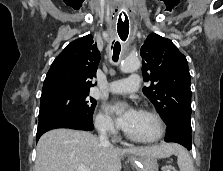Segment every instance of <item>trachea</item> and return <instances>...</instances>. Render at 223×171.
I'll use <instances>...</instances> for the list:
<instances>
[{"label":"trachea","instance_id":"1","mask_svg":"<svg viewBox=\"0 0 223 171\" xmlns=\"http://www.w3.org/2000/svg\"><path fill=\"white\" fill-rule=\"evenodd\" d=\"M120 50H121V45H120V42L117 41L114 44V48H113V57H112V59H113L114 62L118 61Z\"/></svg>","mask_w":223,"mask_h":171}]
</instances>
